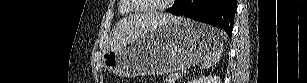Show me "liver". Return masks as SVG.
I'll list each match as a JSON object with an SVG mask.
<instances>
[{"mask_svg": "<svg viewBox=\"0 0 307 83\" xmlns=\"http://www.w3.org/2000/svg\"><path fill=\"white\" fill-rule=\"evenodd\" d=\"M176 17L170 14L151 13L134 15L122 19L111 33V46H121L132 41L158 26L174 21Z\"/></svg>", "mask_w": 307, "mask_h": 83, "instance_id": "obj_1", "label": "liver"}]
</instances>
